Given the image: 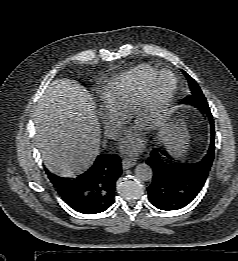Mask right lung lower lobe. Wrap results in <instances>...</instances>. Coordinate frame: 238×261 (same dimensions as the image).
I'll list each match as a JSON object with an SVG mask.
<instances>
[{
	"mask_svg": "<svg viewBox=\"0 0 238 261\" xmlns=\"http://www.w3.org/2000/svg\"><path fill=\"white\" fill-rule=\"evenodd\" d=\"M48 177L62 199L75 211L96 214L114 203L115 184L122 173L117 155H99L84 173L71 177L50 174Z\"/></svg>",
	"mask_w": 238,
	"mask_h": 261,
	"instance_id": "right-lung-lower-lobe-1",
	"label": "right lung lower lobe"
}]
</instances>
